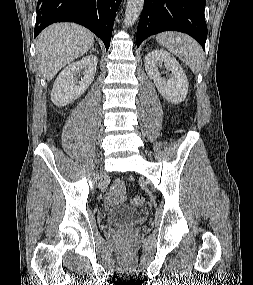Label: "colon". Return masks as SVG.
I'll use <instances>...</instances> for the list:
<instances>
[{"instance_id": "obj_1", "label": "colon", "mask_w": 253, "mask_h": 285, "mask_svg": "<svg viewBox=\"0 0 253 285\" xmlns=\"http://www.w3.org/2000/svg\"><path fill=\"white\" fill-rule=\"evenodd\" d=\"M130 202L133 206L140 207L144 204V198L142 196H134Z\"/></svg>"}]
</instances>
